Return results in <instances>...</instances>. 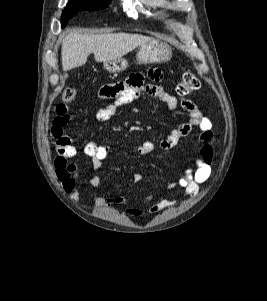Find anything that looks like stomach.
I'll return each instance as SVG.
<instances>
[{
	"label": "stomach",
	"mask_w": 267,
	"mask_h": 301,
	"mask_svg": "<svg viewBox=\"0 0 267 301\" xmlns=\"http://www.w3.org/2000/svg\"><path fill=\"white\" fill-rule=\"evenodd\" d=\"M172 57L171 46L163 41L155 40L139 46L137 61L142 64H159L167 62ZM128 63L123 58L104 62V68L109 73H120L124 71Z\"/></svg>",
	"instance_id": "obj_1"
}]
</instances>
